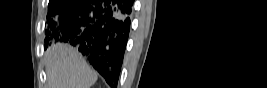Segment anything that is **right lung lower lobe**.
I'll list each match as a JSON object with an SVG mask.
<instances>
[{
    "instance_id": "obj_1",
    "label": "right lung lower lobe",
    "mask_w": 267,
    "mask_h": 88,
    "mask_svg": "<svg viewBox=\"0 0 267 88\" xmlns=\"http://www.w3.org/2000/svg\"><path fill=\"white\" fill-rule=\"evenodd\" d=\"M133 0H74L50 20V38L68 42L89 58L111 86L117 85L130 32Z\"/></svg>"
}]
</instances>
